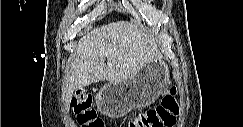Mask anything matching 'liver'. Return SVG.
Returning a JSON list of instances; mask_svg holds the SVG:
<instances>
[{
  "label": "liver",
  "mask_w": 243,
  "mask_h": 127,
  "mask_svg": "<svg viewBox=\"0 0 243 127\" xmlns=\"http://www.w3.org/2000/svg\"><path fill=\"white\" fill-rule=\"evenodd\" d=\"M161 55L154 38L127 21L112 22L85 34L70 58L64 97L99 81L120 82ZM107 59V65L104 63Z\"/></svg>",
  "instance_id": "obj_1"
}]
</instances>
